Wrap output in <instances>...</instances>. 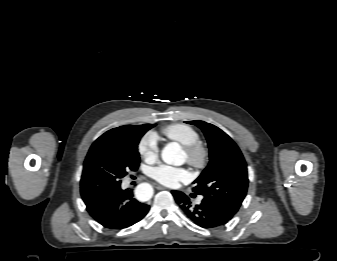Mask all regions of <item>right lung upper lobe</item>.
Segmentation results:
<instances>
[{
  "mask_svg": "<svg viewBox=\"0 0 337 261\" xmlns=\"http://www.w3.org/2000/svg\"><path fill=\"white\" fill-rule=\"evenodd\" d=\"M154 127V124H144V125H125L118 128H113L98 139H110V138H119L123 136H130L137 132L147 131Z\"/></svg>",
  "mask_w": 337,
  "mask_h": 261,
  "instance_id": "right-lung-upper-lobe-1",
  "label": "right lung upper lobe"
}]
</instances>
